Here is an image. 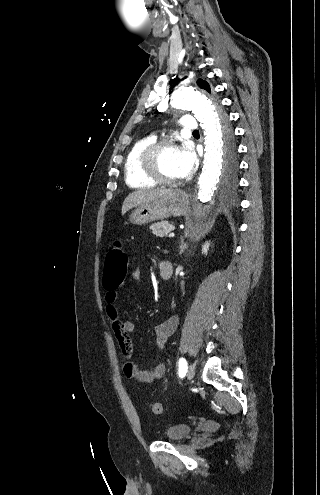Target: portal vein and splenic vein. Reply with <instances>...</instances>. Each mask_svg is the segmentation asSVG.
<instances>
[{"mask_svg":"<svg viewBox=\"0 0 320 495\" xmlns=\"http://www.w3.org/2000/svg\"><path fill=\"white\" fill-rule=\"evenodd\" d=\"M174 235H175L174 233H170L168 237H174Z\"/></svg>","mask_w":320,"mask_h":495,"instance_id":"18ae733b","label":"portal vein and splenic vein"}]
</instances>
